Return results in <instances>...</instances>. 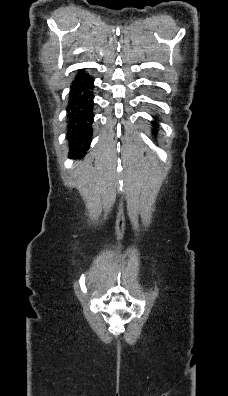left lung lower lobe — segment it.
<instances>
[{"instance_id":"0a47b994","label":"left lung lower lobe","mask_w":228,"mask_h":396,"mask_svg":"<svg viewBox=\"0 0 228 396\" xmlns=\"http://www.w3.org/2000/svg\"><path fill=\"white\" fill-rule=\"evenodd\" d=\"M152 124H153V127H154L153 134L155 135L157 133V131H156L157 123L152 122Z\"/></svg>"}]
</instances>
